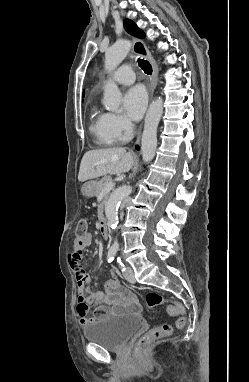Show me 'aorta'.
Returning <instances> with one entry per match:
<instances>
[{"mask_svg":"<svg viewBox=\"0 0 249 382\" xmlns=\"http://www.w3.org/2000/svg\"><path fill=\"white\" fill-rule=\"evenodd\" d=\"M131 47L130 41L120 40L113 44L105 53V69L112 72L125 59ZM121 92L118 86L108 81L104 86L103 104L109 111H118L121 103ZM163 114V100L158 98L153 101L147 111L144 130L141 139V151L143 161L150 162L154 156L157 147V128ZM132 192L131 186H123L117 189L110 197L105 207V214L108 225L115 229L118 225V208L121 201ZM114 252L119 250L118 241L115 240L111 246Z\"/></svg>","mask_w":249,"mask_h":382,"instance_id":"762f6f07","label":"aorta"}]
</instances>
